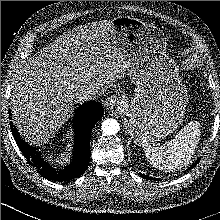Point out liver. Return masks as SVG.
I'll use <instances>...</instances> for the list:
<instances>
[{
    "instance_id": "liver-1",
    "label": "liver",
    "mask_w": 220,
    "mask_h": 220,
    "mask_svg": "<svg viewBox=\"0 0 220 220\" xmlns=\"http://www.w3.org/2000/svg\"><path fill=\"white\" fill-rule=\"evenodd\" d=\"M111 21L74 28L31 57L12 83L11 110L28 141L46 142L64 124L80 94L102 89L127 70Z\"/></svg>"
}]
</instances>
